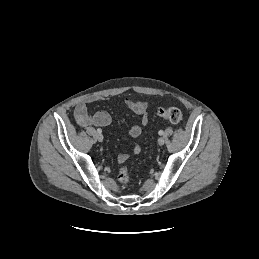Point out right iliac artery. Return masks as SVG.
<instances>
[{
  "instance_id": "1",
  "label": "right iliac artery",
  "mask_w": 259,
  "mask_h": 259,
  "mask_svg": "<svg viewBox=\"0 0 259 259\" xmlns=\"http://www.w3.org/2000/svg\"><path fill=\"white\" fill-rule=\"evenodd\" d=\"M97 132H98V133H101V132H102V130H101L100 128H98V129H97Z\"/></svg>"
}]
</instances>
